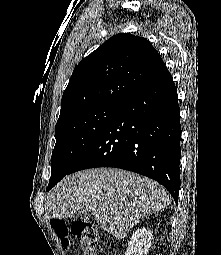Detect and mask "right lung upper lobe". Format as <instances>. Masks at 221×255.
I'll list each match as a JSON object with an SVG mask.
<instances>
[{"instance_id":"1","label":"right lung upper lobe","mask_w":221,"mask_h":255,"mask_svg":"<svg viewBox=\"0 0 221 255\" xmlns=\"http://www.w3.org/2000/svg\"><path fill=\"white\" fill-rule=\"evenodd\" d=\"M166 69L148 40L116 34L74 69L62 96L58 122L81 109L122 103Z\"/></svg>"}]
</instances>
